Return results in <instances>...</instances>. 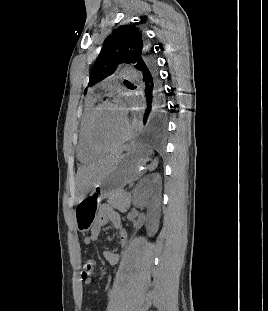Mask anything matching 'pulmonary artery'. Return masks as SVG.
Returning <instances> with one entry per match:
<instances>
[{"instance_id":"e3ab8cb5","label":"pulmonary artery","mask_w":268,"mask_h":311,"mask_svg":"<svg viewBox=\"0 0 268 311\" xmlns=\"http://www.w3.org/2000/svg\"><path fill=\"white\" fill-rule=\"evenodd\" d=\"M134 75V72L132 70L126 69L121 73V76L124 78H130Z\"/></svg>"}]
</instances>
